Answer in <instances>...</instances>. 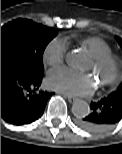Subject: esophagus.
Listing matches in <instances>:
<instances>
[{
	"instance_id": "1",
	"label": "esophagus",
	"mask_w": 122,
	"mask_h": 154,
	"mask_svg": "<svg viewBox=\"0 0 122 154\" xmlns=\"http://www.w3.org/2000/svg\"><path fill=\"white\" fill-rule=\"evenodd\" d=\"M59 94L63 95L65 98H67L70 103H74V102L77 101V98H74V97H71V96H67V95H65L63 93H59Z\"/></svg>"
}]
</instances>
